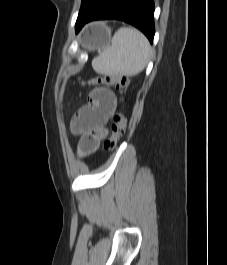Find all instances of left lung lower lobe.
I'll return each instance as SVG.
<instances>
[{
	"instance_id": "left-lung-lower-lobe-1",
	"label": "left lung lower lobe",
	"mask_w": 227,
	"mask_h": 265,
	"mask_svg": "<svg viewBox=\"0 0 227 265\" xmlns=\"http://www.w3.org/2000/svg\"><path fill=\"white\" fill-rule=\"evenodd\" d=\"M100 19L122 20L141 30L153 42V0H105L90 16L76 23V33L87 23Z\"/></svg>"
}]
</instances>
